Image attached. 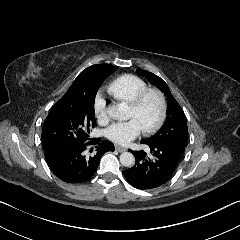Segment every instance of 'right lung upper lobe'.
I'll return each mask as SVG.
<instances>
[{
    "mask_svg": "<svg viewBox=\"0 0 240 240\" xmlns=\"http://www.w3.org/2000/svg\"><path fill=\"white\" fill-rule=\"evenodd\" d=\"M117 69L116 66L113 65H106V64H96L92 65L85 70H83L78 77L88 74H102V75H110Z\"/></svg>",
    "mask_w": 240,
    "mask_h": 240,
    "instance_id": "1",
    "label": "right lung upper lobe"
}]
</instances>
